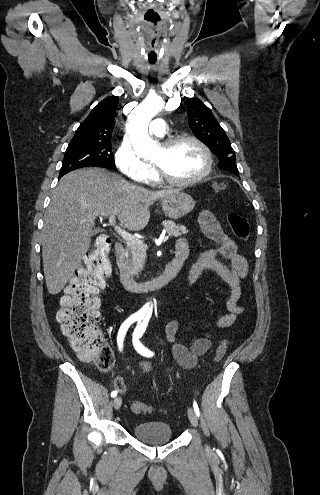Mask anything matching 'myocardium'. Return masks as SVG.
I'll use <instances>...</instances> for the list:
<instances>
[{
	"label": "myocardium",
	"mask_w": 320,
	"mask_h": 495,
	"mask_svg": "<svg viewBox=\"0 0 320 495\" xmlns=\"http://www.w3.org/2000/svg\"><path fill=\"white\" fill-rule=\"evenodd\" d=\"M183 142H191L198 146V148L201 150L205 157V168L204 170L197 175L196 177L189 178V179H175L171 176H169L161 167L158 165L154 164V167L162 181L165 183L174 185V186H192L195 184H198L205 180L211 173L212 168H213V157L212 153L209 150V148L198 138L192 136V135H180V136H175L167 140L166 142L163 143V148L166 150H169L176 145L183 143Z\"/></svg>",
	"instance_id": "f54148a6"
}]
</instances>
